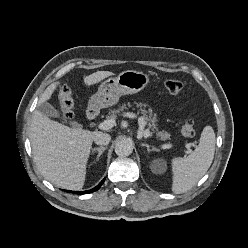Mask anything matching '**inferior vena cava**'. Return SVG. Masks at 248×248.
Segmentation results:
<instances>
[{
  "label": "inferior vena cava",
  "mask_w": 248,
  "mask_h": 248,
  "mask_svg": "<svg viewBox=\"0 0 248 248\" xmlns=\"http://www.w3.org/2000/svg\"><path fill=\"white\" fill-rule=\"evenodd\" d=\"M110 140H111V136L109 134H107V133L98 132L94 136V142L97 145H108Z\"/></svg>",
  "instance_id": "1"
}]
</instances>
